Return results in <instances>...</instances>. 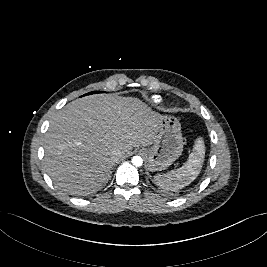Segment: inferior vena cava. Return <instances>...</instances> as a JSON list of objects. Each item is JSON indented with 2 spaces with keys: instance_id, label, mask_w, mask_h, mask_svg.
Masks as SVG:
<instances>
[{
  "instance_id": "inferior-vena-cava-1",
  "label": "inferior vena cava",
  "mask_w": 267,
  "mask_h": 267,
  "mask_svg": "<svg viewBox=\"0 0 267 267\" xmlns=\"http://www.w3.org/2000/svg\"><path fill=\"white\" fill-rule=\"evenodd\" d=\"M120 156H121V151L120 150H114L112 152V158L113 159H118V158H120Z\"/></svg>"
}]
</instances>
